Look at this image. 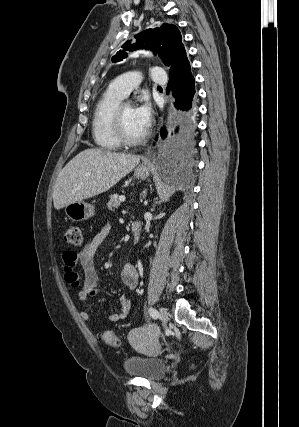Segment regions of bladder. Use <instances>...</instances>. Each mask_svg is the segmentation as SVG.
I'll list each match as a JSON object with an SVG mask.
<instances>
[{
	"label": "bladder",
	"mask_w": 299,
	"mask_h": 427,
	"mask_svg": "<svg viewBox=\"0 0 299 427\" xmlns=\"http://www.w3.org/2000/svg\"><path fill=\"white\" fill-rule=\"evenodd\" d=\"M125 371L147 380H157L165 375L167 364L153 356H132L124 359Z\"/></svg>",
	"instance_id": "31cf9c89"
}]
</instances>
